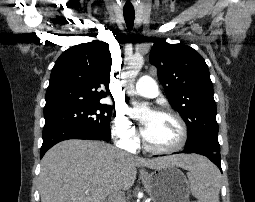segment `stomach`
Wrapping results in <instances>:
<instances>
[{
	"label": "stomach",
	"instance_id": "0dacf381",
	"mask_svg": "<svg viewBox=\"0 0 255 202\" xmlns=\"http://www.w3.org/2000/svg\"><path fill=\"white\" fill-rule=\"evenodd\" d=\"M151 173V181L145 188L153 202H188L190 187L181 170L168 166Z\"/></svg>",
	"mask_w": 255,
	"mask_h": 202
}]
</instances>
